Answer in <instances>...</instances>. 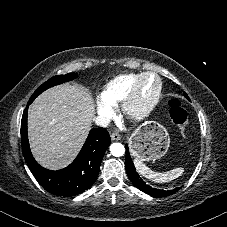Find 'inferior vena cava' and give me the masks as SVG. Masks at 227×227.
Returning a JSON list of instances; mask_svg holds the SVG:
<instances>
[{"label":"inferior vena cava","mask_w":227,"mask_h":227,"mask_svg":"<svg viewBox=\"0 0 227 227\" xmlns=\"http://www.w3.org/2000/svg\"><path fill=\"white\" fill-rule=\"evenodd\" d=\"M109 122H110L109 118L105 116H98L95 118V124L100 127H107Z\"/></svg>","instance_id":"obj_1"}]
</instances>
